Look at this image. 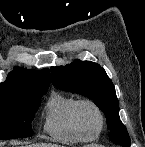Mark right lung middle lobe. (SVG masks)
I'll list each match as a JSON object with an SVG mask.
<instances>
[{"mask_svg": "<svg viewBox=\"0 0 145 147\" xmlns=\"http://www.w3.org/2000/svg\"><path fill=\"white\" fill-rule=\"evenodd\" d=\"M48 88L0 94V140L32 136L31 122Z\"/></svg>", "mask_w": 145, "mask_h": 147, "instance_id": "1", "label": "right lung middle lobe"}]
</instances>
